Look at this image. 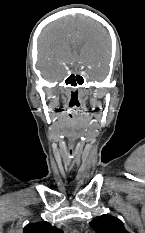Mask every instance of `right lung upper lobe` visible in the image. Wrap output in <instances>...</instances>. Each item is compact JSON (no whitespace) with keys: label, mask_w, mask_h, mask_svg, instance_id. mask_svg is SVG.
Masks as SVG:
<instances>
[{"label":"right lung upper lobe","mask_w":145,"mask_h":233,"mask_svg":"<svg viewBox=\"0 0 145 233\" xmlns=\"http://www.w3.org/2000/svg\"><path fill=\"white\" fill-rule=\"evenodd\" d=\"M24 233H63V231L48 222L42 221L28 224L24 228Z\"/></svg>","instance_id":"1"}]
</instances>
